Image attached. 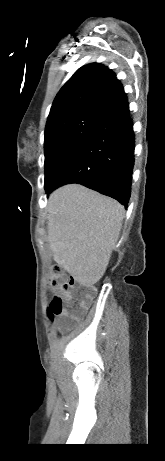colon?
I'll list each match as a JSON object with an SVG mask.
<instances>
[{
	"instance_id": "5ec220e1",
	"label": "colon",
	"mask_w": 165,
	"mask_h": 461,
	"mask_svg": "<svg viewBox=\"0 0 165 461\" xmlns=\"http://www.w3.org/2000/svg\"><path fill=\"white\" fill-rule=\"evenodd\" d=\"M50 287L55 294L50 302L48 315L57 320L61 330H69L84 313L95 289L91 285L77 283L58 265L50 269Z\"/></svg>"
}]
</instances>
